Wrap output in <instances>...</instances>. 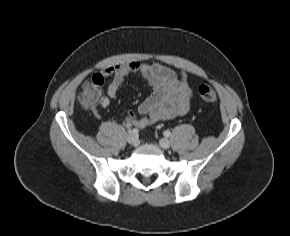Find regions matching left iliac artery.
I'll use <instances>...</instances> for the list:
<instances>
[{
    "label": "left iliac artery",
    "mask_w": 290,
    "mask_h": 236,
    "mask_svg": "<svg viewBox=\"0 0 290 236\" xmlns=\"http://www.w3.org/2000/svg\"><path fill=\"white\" fill-rule=\"evenodd\" d=\"M164 135L169 137L171 135V132L169 130L164 131Z\"/></svg>",
    "instance_id": "left-iliac-artery-1"
}]
</instances>
